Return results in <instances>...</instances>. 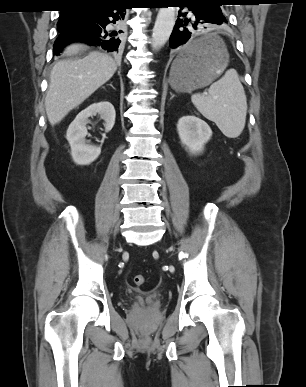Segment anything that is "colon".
<instances>
[{
  "mask_svg": "<svg viewBox=\"0 0 306 387\" xmlns=\"http://www.w3.org/2000/svg\"><path fill=\"white\" fill-rule=\"evenodd\" d=\"M133 282L136 286L141 287L145 283V277L143 275H136L133 278Z\"/></svg>",
  "mask_w": 306,
  "mask_h": 387,
  "instance_id": "5ec220e1",
  "label": "colon"
}]
</instances>
